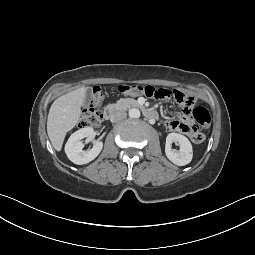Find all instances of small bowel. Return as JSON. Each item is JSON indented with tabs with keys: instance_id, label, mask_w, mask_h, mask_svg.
Segmentation results:
<instances>
[{
	"instance_id": "small-bowel-1",
	"label": "small bowel",
	"mask_w": 255,
	"mask_h": 255,
	"mask_svg": "<svg viewBox=\"0 0 255 255\" xmlns=\"http://www.w3.org/2000/svg\"><path fill=\"white\" fill-rule=\"evenodd\" d=\"M165 125L168 129L180 133H186L187 129L189 128L190 121L184 115L181 119H168L165 121Z\"/></svg>"
}]
</instances>
